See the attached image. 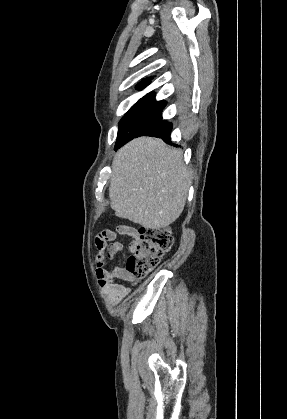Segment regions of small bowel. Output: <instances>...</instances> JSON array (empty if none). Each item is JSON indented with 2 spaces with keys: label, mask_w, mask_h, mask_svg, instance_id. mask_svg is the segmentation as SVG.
Returning <instances> with one entry per match:
<instances>
[{
  "label": "small bowel",
  "mask_w": 287,
  "mask_h": 419,
  "mask_svg": "<svg viewBox=\"0 0 287 419\" xmlns=\"http://www.w3.org/2000/svg\"><path fill=\"white\" fill-rule=\"evenodd\" d=\"M136 229L126 225H120L116 230H109L103 233L102 238L97 241V253L95 256L96 276L99 285L105 290L108 298L113 304L121 302L131 292V287L124 282L132 283L134 277L126 269L116 267L111 270L105 269L108 259H113L122 251L123 245L118 241V236L134 238Z\"/></svg>",
  "instance_id": "1"
}]
</instances>
